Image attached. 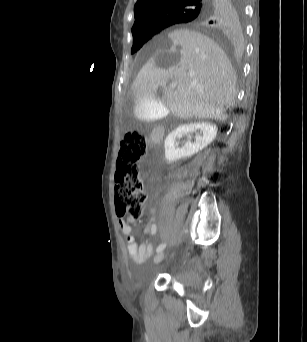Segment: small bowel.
Instances as JSON below:
<instances>
[{
    "mask_svg": "<svg viewBox=\"0 0 307 342\" xmlns=\"http://www.w3.org/2000/svg\"><path fill=\"white\" fill-rule=\"evenodd\" d=\"M150 218L149 224L145 228V234L148 236H154L157 233L156 225V211L153 208L149 210ZM130 222L134 220L129 219ZM120 226L123 234L126 236V248L129 256L136 264H141L147 260L153 252V244L151 241H146L141 245L137 244L136 235L131 232L130 225L124 220H120Z\"/></svg>",
    "mask_w": 307,
    "mask_h": 342,
    "instance_id": "obj_1",
    "label": "small bowel"
}]
</instances>
